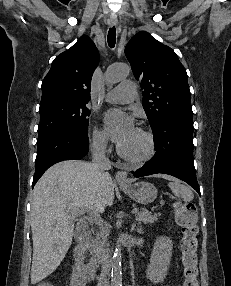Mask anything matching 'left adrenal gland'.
Here are the masks:
<instances>
[{
    "label": "left adrenal gland",
    "mask_w": 231,
    "mask_h": 286,
    "mask_svg": "<svg viewBox=\"0 0 231 286\" xmlns=\"http://www.w3.org/2000/svg\"><path fill=\"white\" fill-rule=\"evenodd\" d=\"M133 227H135V224H133ZM137 231H138V233H143V230H142L141 227H138V228H137Z\"/></svg>",
    "instance_id": "1"
}]
</instances>
